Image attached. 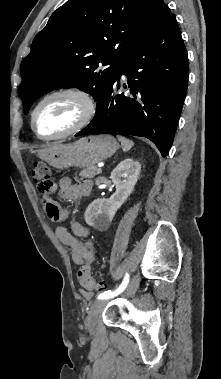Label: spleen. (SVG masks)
Masks as SVG:
<instances>
[{"instance_id": "spleen-1", "label": "spleen", "mask_w": 221, "mask_h": 379, "mask_svg": "<svg viewBox=\"0 0 221 379\" xmlns=\"http://www.w3.org/2000/svg\"><path fill=\"white\" fill-rule=\"evenodd\" d=\"M117 138L121 142V145H122V148L124 151L130 150L132 148V146L134 145V143L131 140H129L123 136L117 135Z\"/></svg>"}]
</instances>
